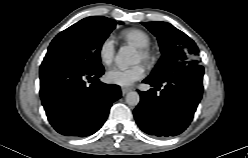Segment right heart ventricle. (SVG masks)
<instances>
[{"mask_svg":"<svg viewBox=\"0 0 248 158\" xmlns=\"http://www.w3.org/2000/svg\"><path fill=\"white\" fill-rule=\"evenodd\" d=\"M121 37L137 48L149 47L151 43L150 36L140 29H129L121 33Z\"/></svg>","mask_w":248,"mask_h":158,"instance_id":"e07e8e85","label":"right heart ventricle"}]
</instances>
